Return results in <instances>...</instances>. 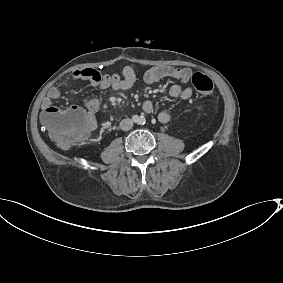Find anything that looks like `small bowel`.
<instances>
[{"mask_svg": "<svg viewBox=\"0 0 283 283\" xmlns=\"http://www.w3.org/2000/svg\"><path fill=\"white\" fill-rule=\"evenodd\" d=\"M191 70L188 68H176L172 66H154L144 73V80L147 84H155L162 79L171 78L179 81L180 83L174 84L169 89V97L181 98L183 100L189 99L193 90L190 87L183 86L187 84L191 78ZM73 78L87 83L89 86L100 90L102 93L112 91H126L130 89L136 81L134 69L127 66L122 71V76L117 73L114 74H101L99 71L92 68L78 69L73 72ZM61 96L60 90L52 87L47 92L43 101L42 108L45 112L50 108H55L53 102L58 100ZM103 97L98 96L95 98H88L83 100V104L87 110L88 115L92 118L97 113L102 105ZM142 108L146 113H152L155 110V104L151 100H146ZM158 120L166 124L171 120V114L164 110L159 112Z\"/></svg>", "mask_w": 283, "mask_h": 283, "instance_id": "small-bowel-1", "label": "small bowel"}]
</instances>
